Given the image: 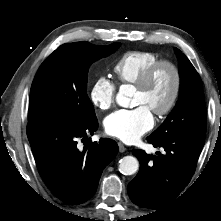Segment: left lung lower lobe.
Listing matches in <instances>:
<instances>
[{
  "label": "left lung lower lobe",
  "mask_w": 221,
  "mask_h": 221,
  "mask_svg": "<svg viewBox=\"0 0 221 221\" xmlns=\"http://www.w3.org/2000/svg\"><path fill=\"white\" fill-rule=\"evenodd\" d=\"M147 140L154 147H163L165 154L153 156L133 150L140 169L128 184V194L136 205L158 209L177 198L188 185L205 139L179 135Z\"/></svg>",
  "instance_id": "1"
}]
</instances>
